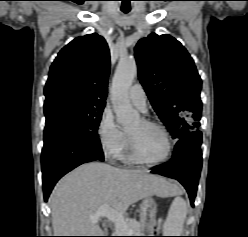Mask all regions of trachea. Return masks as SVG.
<instances>
[{
	"label": "trachea",
	"mask_w": 248,
	"mask_h": 237,
	"mask_svg": "<svg viewBox=\"0 0 248 237\" xmlns=\"http://www.w3.org/2000/svg\"><path fill=\"white\" fill-rule=\"evenodd\" d=\"M124 13H128L130 10H122Z\"/></svg>",
	"instance_id": "3493384b"
}]
</instances>
